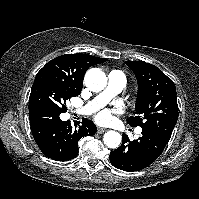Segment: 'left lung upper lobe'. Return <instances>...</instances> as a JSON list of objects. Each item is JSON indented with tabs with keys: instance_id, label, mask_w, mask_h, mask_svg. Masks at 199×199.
I'll use <instances>...</instances> for the list:
<instances>
[{
	"instance_id": "obj_1",
	"label": "left lung upper lobe",
	"mask_w": 199,
	"mask_h": 199,
	"mask_svg": "<svg viewBox=\"0 0 199 199\" xmlns=\"http://www.w3.org/2000/svg\"><path fill=\"white\" fill-rule=\"evenodd\" d=\"M138 81L135 106L138 116L127 122L142 131L159 134L170 140L178 119V104L174 82L156 66L144 61H126Z\"/></svg>"
}]
</instances>
